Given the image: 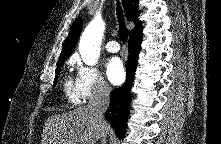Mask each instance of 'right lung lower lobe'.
Instances as JSON below:
<instances>
[{"mask_svg": "<svg viewBox=\"0 0 221 144\" xmlns=\"http://www.w3.org/2000/svg\"><path fill=\"white\" fill-rule=\"evenodd\" d=\"M142 36V29L130 35L129 57L126 62L127 79L121 88L113 89L110 105L105 112L107 121L116 129L120 139L124 137L126 130L131 100L130 90L134 80Z\"/></svg>", "mask_w": 221, "mask_h": 144, "instance_id": "right-lung-lower-lobe-1", "label": "right lung lower lobe"}]
</instances>
